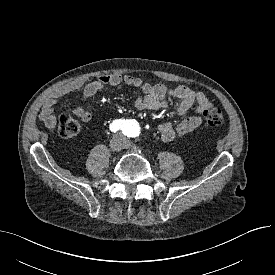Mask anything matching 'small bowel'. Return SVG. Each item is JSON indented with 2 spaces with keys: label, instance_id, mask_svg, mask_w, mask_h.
<instances>
[{
  "label": "small bowel",
  "instance_id": "obj_1",
  "mask_svg": "<svg viewBox=\"0 0 275 275\" xmlns=\"http://www.w3.org/2000/svg\"><path fill=\"white\" fill-rule=\"evenodd\" d=\"M122 83L142 90L143 94L138 96L135 101L137 109H169L171 100L175 101L173 110L178 115H183L190 109H194V115L184 118L177 125L171 120H164L157 125V130L165 142L172 141L176 135L182 136L194 131L202 124L203 111L212 107V103L203 92L194 91L184 85L170 89L165 84H151L134 75L109 74L100 76L89 83L84 78H77L57 88L46 99L39 113V119L47 128H53L56 125L55 107L65 96L82 90V99L87 101L104 87L118 86ZM69 112L84 122L90 121L93 116L90 109L83 107L75 108Z\"/></svg>",
  "mask_w": 275,
  "mask_h": 275
}]
</instances>
